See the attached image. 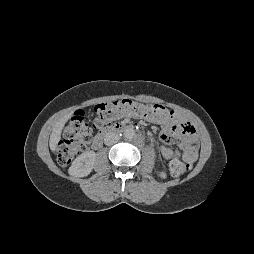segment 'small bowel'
<instances>
[{
  "label": "small bowel",
  "mask_w": 254,
  "mask_h": 254,
  "mask_svg": "<svg viewBox=\"0 0 254 254\" xmlns=\"http://www.w3.org/2000/svg\"><path fill=\"white\" fill-rule=\"evenodd\" d=\"M161 126L160 138L164 143L160 153L165 160H172L178 153L167 146L175 138L182 152L183 159L192 164L197 159L198 140L194 126L183 116L173 113L169 120L157 122Z\"/></svg>",
  "instance_id": "small-bowel-1"
}]
</instances>
